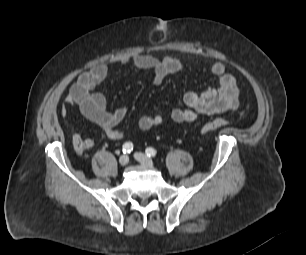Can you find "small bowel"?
I'll return each mask as SVG.
<instances>
[{
  "instance_id": "1",
  "label": "small bowel",
  "mask_w": 306,
  "mask_h": 255,
  "mask_svg": "<svg viewBox=\"0 0 306 255\" xmlns=\"http://www.w3.org/2000/svg\"><path fill=\"white\" fill-rule=\"evenodd\" d=\"M121 65H130L134 69L147 70L153 74V81L160 84L172 74L183 69V61L177 56L163 58L146 54L124 57L117 61ZM210 73L218 79V87L208 89L202 93L187 91L184 94V107L176 108L171 118L176 123L194 122L199 114H217L228 110H235L240 104V89L235 77L226 72L225 65L215 62L210 66ZM108 69L104 64H97L91 69L82 72L72 84L61 107V114H67V105L77 106L82 115L98 126L105 135L112 140L124 138L125 132L118 125L126 118L128 108L125 106L109 110L104 95L95 90L107 77ZM164 122L161 114H144L138 118V128L147 131ZM86 148H91L94 141L90 138L84 140Z\"/></svg>"
}]
</instances>
